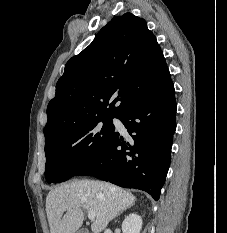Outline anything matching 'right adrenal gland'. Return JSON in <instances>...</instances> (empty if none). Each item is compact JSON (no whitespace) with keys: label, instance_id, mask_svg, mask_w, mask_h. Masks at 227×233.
Segmentation results:
<instances>
[{"label":"right adrenal gland","instance_id":"2a0ac1e0","mask_svg":"<svg viewBox=\"0 0 227 233\" xmlns=\"http://www.w3.org/2000/svg\"><path fill=\"white\" fill-rule=\"evenodd\" d=\"M124 210H122L121 212L118 213V215H120L121 213H123Z\"/></svg>","mask_w":227,"mask_h":233}]
</instances>
